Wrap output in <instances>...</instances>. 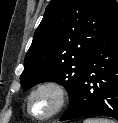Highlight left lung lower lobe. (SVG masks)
I'll use <instances>...</instances> for the list:
<instances>
[{
	"instance_id": "0a47b994",
	"label": "left lung lower lobe",
	"mask_w": 118,
	"mask_h": 123,
	"mask_svg": "<svg viewBox=\"0 0 118 123\" xmlns=\"http://www.w3.org/2000/svg\"><path fill=\"white\" fill-rule=\"evenodd\" d=\"M84 116L118 120V19L94 46L61 121Z\"/></svg>"
}]
</instances>
